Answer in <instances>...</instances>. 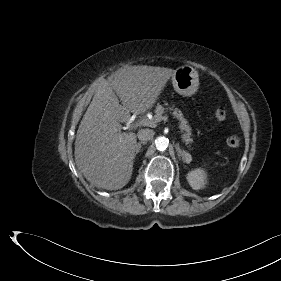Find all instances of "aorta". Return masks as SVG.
<instances>
[{
  "label": "aorta",
  "mask_w": 281,
  "mask_h": 281,
  "mask_svg": "<svg viewBox=\"0 0 281 281\" xmlns=\"http://www.w3.org/2000/svg\"><path fill=\"white\" fill-rule=\"evenodd\" d=\"M168 144H169V140L164 136H160L155 140L156 148L159 151L166 150V148L168 147Z\"/></svg>",
  "instance_id": "obj_1"
}]
</instances>
